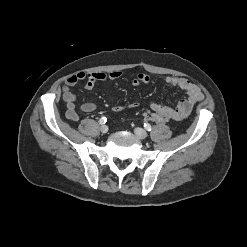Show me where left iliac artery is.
<instances>
[{
	"mask_svg": "<svg viewBox=\"0 0 247 247\" xmlns=\"http://www.w3.org/2000/svg\"><path fill=\"white\" fill-rule=\"evenodd\" d=\"M144 128L147 130V131H150L151 130V125L149 123H144Z\"/></svg>",
	"mask_w": 247,
	"mask_h": 247,
	"instance_id": "44dca946",
	"label": "left iliac artery"
}]
</instances>
